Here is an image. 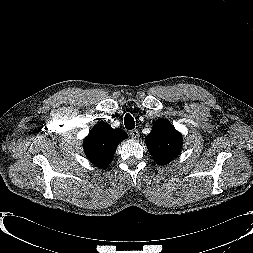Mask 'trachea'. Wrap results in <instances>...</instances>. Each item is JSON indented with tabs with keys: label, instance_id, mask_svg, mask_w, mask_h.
Returning a JSON list of instances; mask_svg holds the SVG:
<instances>
[{
	"label": "trachea",
	"instance_id": "3493384b",
	"mask_svg": "<svg viewBox=\"0 0 253 253\" xmlns=\"http://www.w3.org/2000/svg\"><path fill=\"white\" fill-rule=\"evenodd\" d=\"M124 125L126 129L132 130L135 127V121L130 114H126L124 117Z\"/></svg>",
	"mask_w": 253,
	"mask_h": 253
}]
</instances>
